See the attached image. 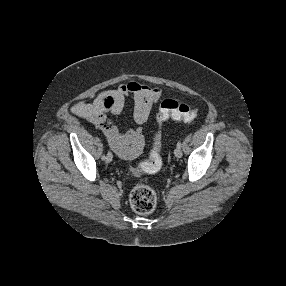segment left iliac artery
Segmentation results:
<instances>
[{
  "label": "left iliac artery",
  "mask_w": 286,
  "mask_h": 286,
  "mask_svg": "<svg viewBox=\"0 0 286 286\" xmlns=\"http://www.w3.org/2000/svg\"><path fill=\"white\" fill-rule=\"evenodd\" d=\"M181 141H178V143H177V148H181Z\"/></svg>",
  "instance_id": "1"
}]
</instances>
